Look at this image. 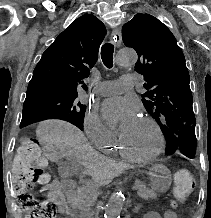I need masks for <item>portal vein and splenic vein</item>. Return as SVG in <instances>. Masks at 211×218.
Here are the masks:
<instances>
[{"label":"portal vein and splenic vein","mask_w":211,"mask_h":218,"mask_svg":"<svg viewBox=\"0 0 211 218\" xmlns=\"http://www.w3.org/2000/svg\"><path fill=\"white\" fill-rule=\"evenodd\" d=\"M131 188H132V189H134L135 187H134V186H132Z\"/></svg>","instance_id":"1"}]
</instances>
